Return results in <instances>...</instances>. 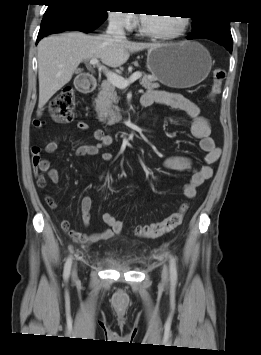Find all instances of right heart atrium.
Returning <instances> with one entry per match:
<instances>
[{
    "label": "right heart atrium",
    "instance_id": "obj_1",
    "mask_svg": "<svg viewBox=\"0 0 261 355\" xmlns=\"http://www.w3.org/2000/svg\"><path fill=\"white\" fill-rule=\"evenodd\" d=\"M108 20L114 27L124 31H130L136 25L134 14L127 10L110 11L108 13Z\"/></svg>",
    "mask_w": 261,
    "mask_h": 355
}]
</instances>
